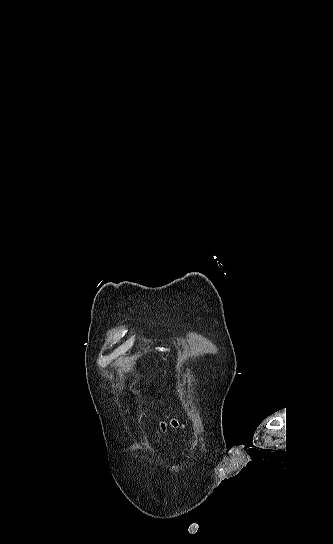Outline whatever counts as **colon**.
I'll list each match as a JSON object with an SVG mask.
<instances>
[{"instance_id":"obj_1","label":"colon","mask_w":333,"mask_h":544,"mask_svg":"<svg viewBox=\"0 0 333 544\" xmlns=\"http://www.w3.org/2000/svg\"><path fill=\"white\" fill-rule=\"evenodd\" d=\"M168 425H169V426H172V427H175V428L179 426V424H178V422H177L176 420H172V421H171L170 423H168V424H167V423H161V429H162V430H165V429L167 428Z\"/></svg>"}]
</instances>
